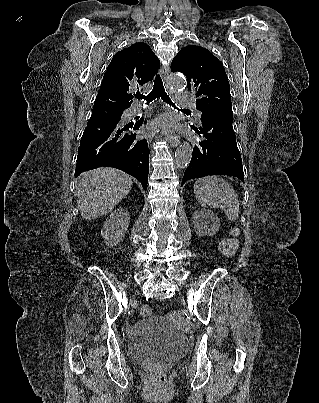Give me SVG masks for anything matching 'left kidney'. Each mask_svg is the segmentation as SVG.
<instances>
[{
    "label": "left kidney",
    "mask_w": 319,
    "mask_h": 403,
    "mask_svg": "<svg viewBox=\"0 0 319 403\" xmlns=\"http://www.w3.org/2000/svg\"><path fill=\"white\" fill-rule=\"evenodd\" d=\"M196 220L200 224L201 229H205L208 232L215 233L219 226L217 216L209 210H197L195 213Z\"/></svg>",
    "instance_id": "left-kidney-1"
}]
</instances>
